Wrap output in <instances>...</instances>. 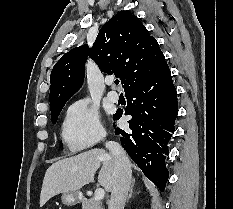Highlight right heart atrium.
Here are the masks:
<instances>
[{"label":"right heart atrium","instance_id":"d8ad5b80","mask_svg":"<svg viewBox=\"0 0 233 209\" xmlns=\"http://www.w3.org/2000/svg\"><path fill=\"white\" fill-rule=\"evenodd\" d=\"M62 134L67 146L74 151L93 147L104 140L99 112L91 101L80 99L67 108Z\"/></svg>","mask_w":233,"mask_h":209}]
</instances>
